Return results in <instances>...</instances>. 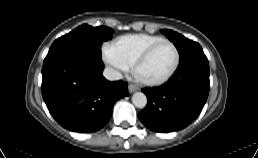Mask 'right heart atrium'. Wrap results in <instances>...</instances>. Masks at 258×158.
Segmentation results:
<instances>
[{"instance_id": "right-heart-atrium-1", "label": "right heart atrium", "mask_w": 258, "mask_h": 158, "mask_svg": "<svg viewBox=\"0 0 258 158\" xmlns=\"http://www.w3.org/2000/svg\"><path fill=\"white\" fill-rule=\"evenodd\" d=\"M106 60L114 68L119 70H127L128 66L124 63L121 57L114 50L113 46H110L106 51Z\"/></svg>"}]
</instances>
